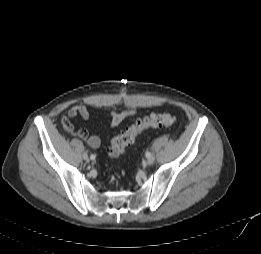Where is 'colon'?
Instances as JSON below:
<instances>
[{
    "mask_svg": "<svg viewBox=\"0 0 261 254\" xmlns=\"http://www.w3.org/2000/svg\"><path fill=\"white\" fill-rule=\"evenodd\" d=\"M176 121V117L170 113L151 114L137 119L133 125L112 140L108 149V156L111 159H118L125 148L133 144L135 139L144 131L152 128L170 127L175 125Z\"/></svg>",
    "mask_w": 261,
    "mask_h": 254,
    "instance_id": "5ec220e1",
    "label": "colon"
}]
</instances>
